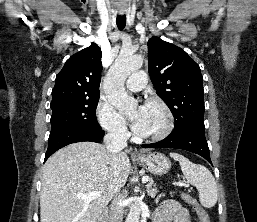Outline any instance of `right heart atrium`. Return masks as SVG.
<instances>
[{"label":"right heart atrium","mask_w":257,"mask_h":222,"mask_svg":"<svg viewBox=\"0 0 257 222\" xmlns=\"http://www.w3.org/2000/svg\"><path fill=\"white\" fill-rule=\"evenodd\" d=\"M96 116L100 126L111 136L117 139H126L129 136L128 128L118 112L107 101L101 99L96 107ZM110 117L112 122H106Z\"/></svg>","instance_id":"obj_1"}]
</instances>
